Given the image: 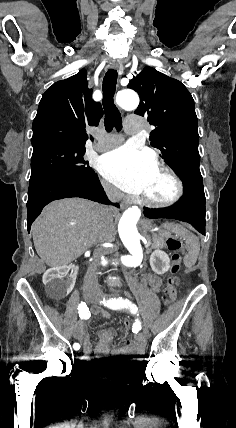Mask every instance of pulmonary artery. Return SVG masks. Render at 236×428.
I'll use <instances>...</instances> for the list:
<instances>
[{
    "label": "pulmonary artery",
    "mask_w": 236,
    "mask_h": 428,
    "mask_svg": "<svg viewBox=\"0 0 236 428\" xmlns=\"http://www.w3.org/2000/svg\"><path fill=\"white\" fill-rule=\"evenodd\" d=\"M122 139H123V137L120 134H117L116 135V140L114 142H112V143H101V142H98V143H95L93 145V149L96 150V151H99V152L107 151V150L115 147V145L118 142H120Z\"/></svg>",
    "instance_id": "pulmonary-artery-1"
}]
</instances>
